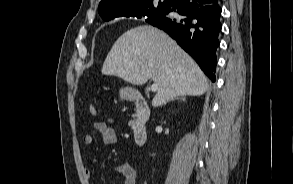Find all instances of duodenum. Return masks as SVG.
Segmentation results:
<instances>
[{
	"instance_id": "obj_1",
	"label": "duodenum",
	"mask_w": 293,
	"mask_h": 184,
	"mask_svg": "<svg viewBox=\"0 0 293 184\" xmlns=\"http://www.w3.org/2000/svg\"><path fill=\"white\" fill-rule=\"evenodd\" d=\"M136 107L133 122V139L138 146H142L147 140V122L150 117V108L142 95L134 96Z\"/></svg>"
}]
</instances>
